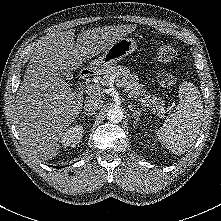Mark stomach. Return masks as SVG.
Instances as JSON below:
<instances>
[{"label": "stomach", "instance_id": "stomach-1", "mask_svg": "<svg viewBox=\"0 0 221 221\" xmlns=\"http://www.w3.org/2000/svg\"><path fill=\"white\" fill-rule=\"evenodd\" d=\"M137 48L136 41L131 38H121L113 43L105 53L89 64V69L97 74L105 73L119 60L130 55Z\"/></svg>", "mask_w": 221, "mask_h": 221}]
</instances>
